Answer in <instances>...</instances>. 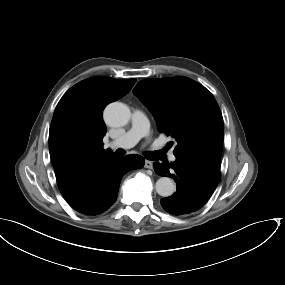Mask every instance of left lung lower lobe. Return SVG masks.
<instances>
[{"label":"left lung lower lobe","mask_w":285,"mask_h":285,"mask_svg":"<svg viewBox=\"0 0 285 285\" xmlns=\"http://www.w3.org/2000/svg\"><path fill=\"white\" fill-rule=\"evenodd\" d=\"M160 176L170 175L177 191L161 200L162 207L173 215H187L199 210L211 197L221 179L220 165L197 158H180L169 163H154Z\"/></svg>","instance_id":"left-lung-lower-lobe-1"}]
</instances>
